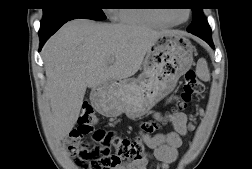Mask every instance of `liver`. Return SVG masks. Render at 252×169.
I'll use <instances>...</instances> for the list:
<instances>
[{"instance_id": "1", "label": "liver", "mask_w": 252, "mask_h": 169, "mask_svg": "<svg viewBox=\"0 0 252 169\" xmlns=\"http://www.w3.org/2000/svg\"><path fill=\"white\" fill-rule=\"evenodd\" d=\"M167 33L179 32L85 19L67 22L42 49L52 136L62 140L72 130L87 87L133 76L150 47Z\"/></svg>"}]
</instances>
